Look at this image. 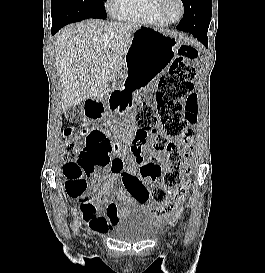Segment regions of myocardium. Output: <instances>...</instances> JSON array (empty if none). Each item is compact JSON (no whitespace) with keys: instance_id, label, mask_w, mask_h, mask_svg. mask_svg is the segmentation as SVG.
I'll return each instance as SVG.
<instances>
[{"instance_id":"obj_1","label":"myocardium","mask_w":265,"mask_h":273,"mask_svg":"<svg viewBox=\"0 0 265 273\" xmlns=\"http://www.w3.org/2000/svg\"><path fill=\"white\" fill-rule=\"evenodd\" d=\"M178 2L180 4L181 11H180L179 17L176 18V19H170V18L167 17V15L165 13V10H164V6H165V3H166V0H158V2H157V11H158V14L160 15V17L162 19H164L169 24H173V23L179 22L180 20H182V18L185 15L186 6H185L184 0H178Z\"/></svg>"}]
</instances>
